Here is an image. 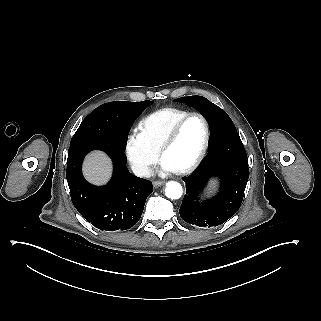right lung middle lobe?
Here are the masks:
<instances>
[{"label": "right lung middle lobe", "instance_id": "1", "mask_svg": "<svg viewBox=\"0 0 321 321\" xmlns=\"http://www.w3.org/2000/svg\"><path fill=\"white\" fill-rule=\"evenodd\" d=\"M131 104L139 106L142 110H145L153 102L146 100L142 102H130ZM101 108H96L90 113L80 124L76 133L71 139L70 147L83 143H110L114 144L111 140V133L108 129L107 123L103 120V116L100 114Z\"/></svg>", "mask_w": 321, "mask_h": 321}]
</instances>
